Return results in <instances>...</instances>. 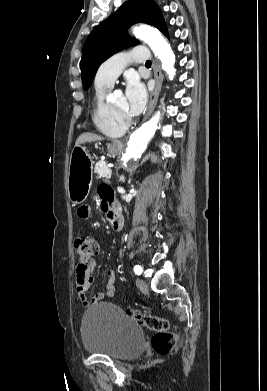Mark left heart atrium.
<instances>
[{
	"instance_id": "obj_1",
	"label": "left heart atrium",
	"mask_w": 267,
	"mask_h": 391,
	"mask_svg": "<svg viewBox=\"0 0 267 391\" xmlns=\"http://www.w3.org/2000/svg\"><path fill=\"white\" fill-rule=\"evenodd\" d=\"M126 105L130 115H138L145 107L147 92L144 85L135 77H131L126 85Z\"/></svg>"
}]
</instances>
